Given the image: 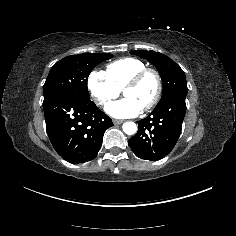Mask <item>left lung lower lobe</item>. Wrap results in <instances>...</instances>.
<instances>
[{
  "mask_svg": "<svg viewBox=\"0 0 236 236\" xmlns=\"http://www.w3.org/2000/svg\"><path fill=\"white\" fill-rule=\"evenodd\" d=\"M186 95H176L157 105L149 116L138 121V132L128 140L134 154L144 160L165 157L175 146L186 112Z\"/></svg>",
  "mask_w": 236,
  "mask_h": 236,
  "instance_id": "obj_1",
  "label": "left lung lower lobe"
}]
</instances>
